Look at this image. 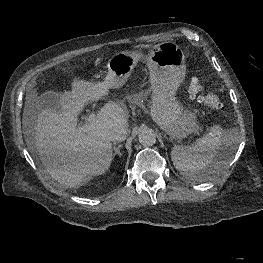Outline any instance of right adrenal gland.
Wrapping results in <instances>:
<instances>
[{
  "instance_id": "2a0ac1e0",
  "label": "right adrenal gland",
  "mask_w": 263,
  "mask_h": 263,
  "mask_svg": "<svg viewBox=\"0 0 263 263\" xmlns=\"http://www.w3.org/2000/svg\"><path fill=\"white\" fill-rule=\"evenodd\" d=\"M122 147V144H119L117 147L115 146V144L113 145V150L114 153L112 155V157L114 158L116 155H118L119 157H121V153H120V148Z\"/></svg>"
}]
</instances>
